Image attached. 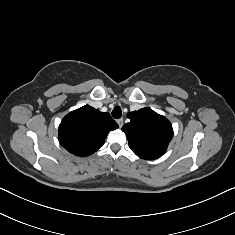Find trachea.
Wrapping results in <instances>:
<instances>
[{
	"label": "trachea",
	"instance_id": "1",
	"mask_svg": "<svg viewBox=\"0 0 235 235\" xmlns=\"http://www.w3.org/2000/svg\"><path fill=\"white\" fill-rule=\"evenodd\" d=\"M122 115V111L121 108L119 106L114 107L113 111H112V116L115 119H119Z\"/></svg>",
	"mask_w": 235,
	"mask_h": 235
}]
</instances>
